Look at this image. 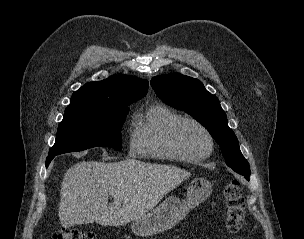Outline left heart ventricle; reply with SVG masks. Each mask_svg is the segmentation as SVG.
<instances>
[{"label":"left heart ventricle","mask_w":304,"mask_h":239,"mask_svg":"<svg viewBox=\"0 0 304 239\" xmlns=\"http://www.w3.org/2000/svg\"><path fill=\"white\" fill-rule=\"evenodd\" d=\"M182 145L192 153H203L208 149L209 142L205 133L193 124H186L180 130Z\"/></svg>","instance_id":"left-heart-ventricle-1"}]
</instances>
